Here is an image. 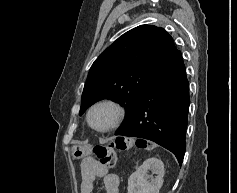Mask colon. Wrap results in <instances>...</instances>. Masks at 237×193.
Segmentation results:
<instances>
[{"label":"colon","mask_w":237,"mask_h":193,"mask_svg":"<svg viewBox=\"0 0 237 193\" xmlns=\"http://www.w3.org/2000/svg\"><path fill=\"white\" fill-rule=\"evenodd\" d=\"M133 144L140 149H146L147 145L142 140H133L129 137H117L114 144L110 146H97L93 150L97 163L105 168L112 169L116 164V151H126L133 147Z\"/></svg>","instance_id":"obj_1"}]
</instances>
